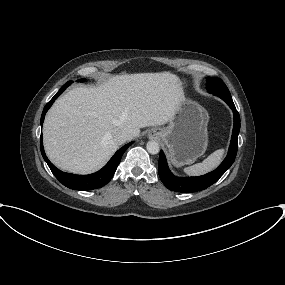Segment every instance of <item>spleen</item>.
Masks as SVG:
<instances>
[{
    "label": "spleen",
    "mask_w": 285,
    "mask_h": 285,
    "mask_svg": "<svg viewBox=\"0 0 285 285\" xmlns=\"http://www.w3.org/2000/svg\"><path fill=\"white\" fill-rule=\"evenodd\" d=\"M224 155V149H219L210 154L202 163H197L192 166L184 168V172L191 176H198L205 174L216 168Z\"/></svg>",
    "instance_id": "spleen-1"
}]
</instances>
